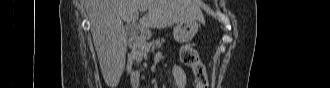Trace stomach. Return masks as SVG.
Masks as SVG:
<instances>
[{"mask_svg": "<svg viewBox=\"0 0 330 88\" xmlns=\"http://www.w3.org/2000/svg\"><path fill=\"white\" fill-rule=\"evenodd\" d=\"M198 32L196 21H186L178 23L173 29L174 39L179 43L189 42Z\"/></svg>", "mask_w": 330, "mask_h": 88, "instance_id": "stomach-1", "label": "stomach"}]
</instances>
